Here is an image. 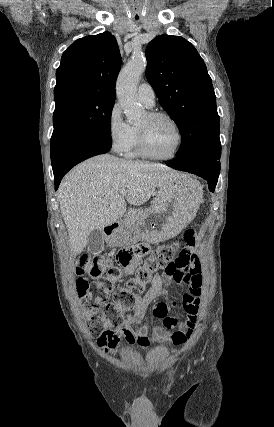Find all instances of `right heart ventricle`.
<instances>
[{"label": "right heart ventricle", "mask_w": 274, "mask_h": 427, "mask_svg": "<svg viewBox=\"0 0 274 427\" xmlns=\"http://www.w3.org/2000/svg\"><path fill=\"white\" fill-rule=\"evenodd\" d=\"M132 130H133L132 139H131L128 147L124 151V156L126 158H129V159H138V158H141V155H140L138 148H137L135 128H132Z\"/></svg>", "instance_id": "e07e8e85"}]
</instances>
